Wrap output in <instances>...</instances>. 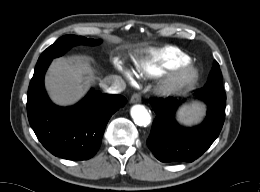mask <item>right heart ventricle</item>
I'll use <instances>...</instances> for the list:
<instances>
[{
	"label": "right heart ventricle",
	"instance_id": "obj_1",
	"mask_svg": "<svg viewBox=\"0 0 260 192\" xmlns=\"http://www.w3.org/2000/svg\"><path fill=\"white\" fill-rule=\"evenodd\" d=\"M189 56L178 48L168 47L155 52L152 57L140 66L142 74L159 77L187 63Z\"/></svg>",
	"mask_w": 260,
	"mask_h": 192
}]
</instances>
